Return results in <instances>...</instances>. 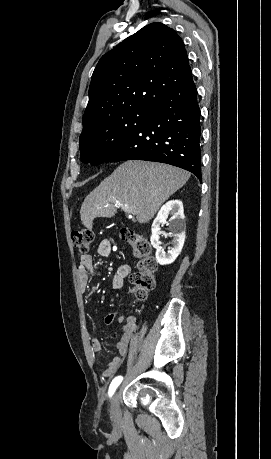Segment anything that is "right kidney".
Here are the masks:
<instances>
[{"label": "right kidney", "mask_w": 271, "mask_h": 459, "mask_svg": "<svg viewBox=\"0 0 271 459\" xmlns=\"http://www.w3.org/2000/svg\"><path fill=\"white\" fill-rule=\"evenodd\" d=\"M168 216H170V220L166 222ZM184 218L182 202H180V200H171V202H167V204L162 206L161 210L158 212L157 218H155L152 224L151 243L153 247L157 249L156 257L161 265L175 261L184 245L186 229ZM163 224H169L170 231H173V247H170L167 253L162 249L160 245L161 241H159V233H162V231H160V226H163Z\"/></svg>", "instance_id": "obj_1"}]
</instances>
